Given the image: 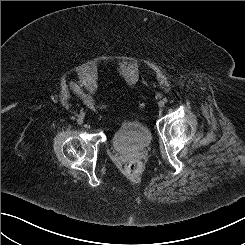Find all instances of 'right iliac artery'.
<instances>
[{
  "label": "right iliac artery",
  "mask_w": 245,
  "mask_h": 245,
  "mask_svg": "<svg viewBox=\"0 0 245 245\" xmlns=\"http://www.w3.org/2000/svg\"><path fill=\"white\" fill-rule=\"evenodd\" d=\"M76 118L74 116L71 117V120L74 121Z\"/></svg>",
  "instance_id": "right-iliac-artery-1"
}]
</instances>
